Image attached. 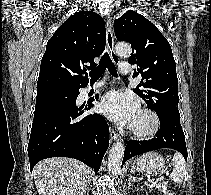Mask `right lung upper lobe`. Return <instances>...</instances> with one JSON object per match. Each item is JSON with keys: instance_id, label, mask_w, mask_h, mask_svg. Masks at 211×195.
<instances>
[{"instance_id": "1", "label": "right lung upper lobe", "mask_w": 211, "mask_h": 195, "mask_svg": "<svg viewBox=\"0 0 211 195\" xmlns=\"http://www.w3.org/2000/svg\"><path fill=\"white\" fill-rule=\"evenodd\" d=\"M105 42V25L99 15L80 11L69 17L46 45L37 94L61 87L86 85V71L96 66L93 59L102 54Z\"/></svg>"}]
</instances>
